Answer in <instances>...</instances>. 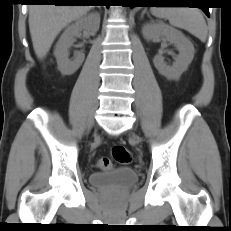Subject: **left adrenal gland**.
<instances>
[{
    "label": "left adrenal gland",
    "mask_w": 231,
    "mask_h": 231,
    "mask_svg": "<svg viewBox=\"0 0 231 231\" xmlns=\"http://www.w3.org/2000/svg\"><path fill=\"white\" fill-rule=\"evenodd\" d=\"M145 13H147V15H149L148 12H146V10H144V11L142 12V14H141V18H143V16H144Z\"/></svg>",
    "instance_id": "obj_1"
}]
</instances>
